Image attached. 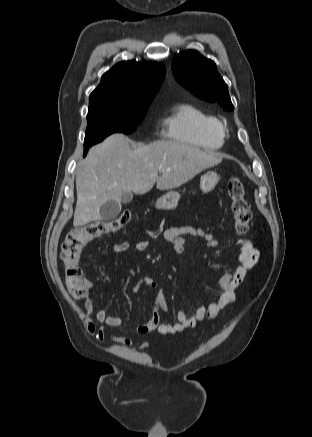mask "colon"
I'll use <instances>...</instances> for the list:
<instances>
[{
    "label": "colon",
    "instance_id": "obj_1",
    "mask_svg": "<svg viewBox=\"0 0 312 437\" xmlns=\"http://www.w3.org/2000/svg\"><path fill=\"white\" fill-rule=\"evenodd\" d=\"M227 195L230 200L234 231L236 235L243 236L249 231L251 212L241 178L231 177L228 180ZM132 217V210H124L110 220L91 222L72 230L67 235L61 246L60 259L63 264L65 289L72 299L82 300L88 296V282L83 277L80 266L81 255L86 245L105 234L120 230Z\"/></svg>",
    "mask_w": 312,
    "mask_h": 437
}]
</instances>
